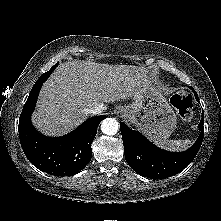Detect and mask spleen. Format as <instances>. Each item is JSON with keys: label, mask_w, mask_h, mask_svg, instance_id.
I'll return each instance as SVG.
<instances>
[{"label": "spleen", "mask_w": 221, "mask_h": 221, "mask_svg": "<svg viewBox=\"0 0 221 221\" xmlns=\"http://www.w3.org/2000/svg\"><path fill=\"white\" fill-rule=\"evenodd\" d=\"M155 144L168 151H183L190 147L191 141L186 140H163L155 141Z\"/></svg>", "instance_id": "1"}]
</instances>
